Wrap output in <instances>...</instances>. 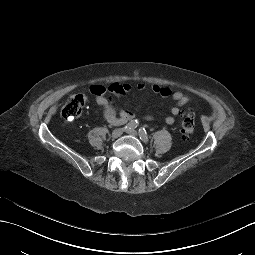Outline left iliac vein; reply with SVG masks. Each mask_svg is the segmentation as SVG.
<instances>
[{"label":"left iliac vein","instance_id":"1","mask_svg":"<svg viewBox=\"0 0 255 255\" xmlns=\"http://www.w3.org/2000/svg\"><path fill=\"white\" fill-rule=\"evenodd\" d=\"M126 132L132 136H138V133L134 129H127Z\"/></svg>","mask_w":255,"mask_h":255}]
</instances>
